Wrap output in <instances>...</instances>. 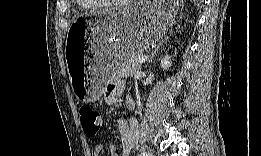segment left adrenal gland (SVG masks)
I'll return each instance as SVG.
<instances>
[{"label": "left adrenal gland", "mask_w": 261, "mask_h": 156, "mask_svg": "<svg viewBox=\"0 0 261 156\" xmlns=\"http://www.w3.org/2000/svg\"><path fill=\"white\" fill-rule=\"evenodd\" d=\"M158 48H159V46H157V48L154 49V51L151 53V55H150V57H149V59L147 61V65L152 62L154 56L156 55V52H157Z\"/></svg>", "instance_id": "1"}]
</instances>
